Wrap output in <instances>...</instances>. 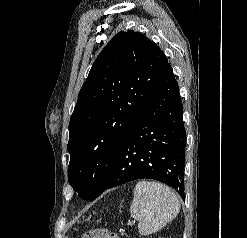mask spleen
I'll return each mask as SVG.
<instances>
[{"label": "spleen", "instance_id": "spleen-1", "mask_svg": "<svg viewBox=\"0 0 247 238\" xmlns=\"http://www.w3.org/2000/svg\"><path fill=\"white\" fill-rule=\"evenodd\" d=\"M180 211L179 199L168 186L155 181H139L130 206L141 235L156 233Z\"/></svg>", "mask_w": 247, "mask_h": 238}]
</instances>
